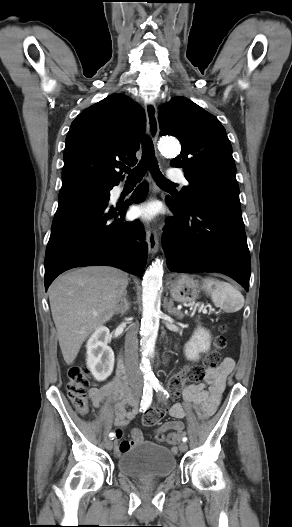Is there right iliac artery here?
<instances>
[{"label":"right iliac artery","instance_id":"obj_1","mask_svg":"<svg viewBox=\"0 0 292 527\" xmlns=\"http://www.w3.org/2000/svg\"><path fill=\"white\" fill-rule=\"evenodd\" d=\"M152 396H153V385L147 383L145 384L144 389H143V396L141 400L140 411L146 410L147 407H149V405L152 402ZM109 437L113 439L115 437V433L111 432L109 434Z\"/></svg>","mask_w":292,"mask_h":527}]
</instances>
